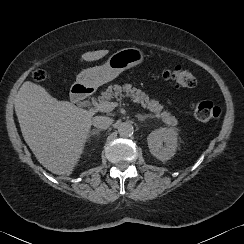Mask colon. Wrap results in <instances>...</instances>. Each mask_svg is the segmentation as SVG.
<instances>
[{"instance_id": "obj_1", "label": "colon", "mask_w": 244, "mask_h": 244, "mask_svg": "<svg viewBox=\"0 0 244 244\" xmlns=\"http://www.w3.org/2000/svg\"><path fill=\"white\" fill-rule=\"evenodd\" d=\"M162 78L166 81L172 82L178 87L190 88L196 84L193 74L182 68L180 65L170 66L162 72ZM45 73L41 70L37 71L34 75L36 82L43 81ZM190 108L193 115L198 121L209 122L216 121L221 117V108L211 101H196L192 102Z\"/></svg>"}]
</instances>
